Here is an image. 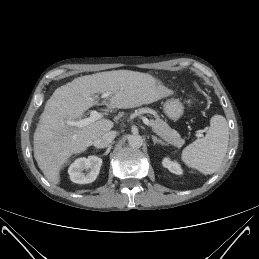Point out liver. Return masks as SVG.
Listing matches in <instances>:
<instances>
[{
	"mask_svg": "<svg viewBox=\"0 0 259 259\" xmlns=\"http://www.w3.org/2000/svg\"><path fill=\"white\" fill-rule=\"evenodd\" d=\"M106 92L111 93L107 105L112 109L139 107L172 93L158 86L153 76L130 70L86 75L57 88L46 102L34 133V157L49 182L58 184L67 159L84 152L113 128L114 123L107 119L82 128L67 124L80 120L85 111L98 104L94 94Z\"/></svg>",
	"mask_w": 259,
	"mask_h": 259,
	"instance_id": "obj_1",
	"label": "liver"
}]
</instances>
